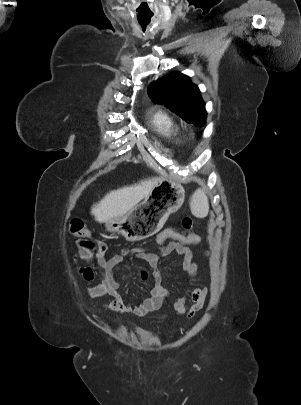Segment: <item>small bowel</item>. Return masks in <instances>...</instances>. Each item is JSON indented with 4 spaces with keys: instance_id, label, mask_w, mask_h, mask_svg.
Here are the masks:
<instances>
[{
    "instance_id": "1",
    "label": "small bowel",
    "mask_w": 301,
    "mask_h": 405,
    "mask_svg": "<svg viewBox=\"0 0 301 405\" xmlns=\"http://www.w3.org/2000/svg\"><path fill=\"white\" fill-rule=\"evenodd\" d=\"M166 232L167 231L164 230L157 236L159 249L156 253L144 249L128 248L110 259H106L104 256L107 248L104 242L97 240L96 245L98 251L94 252L87 246L85 240H77V252L74 255V260L78 257L87 261L93 260L99 268L101 275V282L87 289L88 295H109L113 298V301L108 305L110 311L117 313L127 312L128 304L120 293V285L112 274V268L130 260L131 256L135 255L137 259L144 261L151 268L150 275L153 279V285L149 295L134 308L133 312L138 316H144L149 312L157 310L171 295V290L162 283V275L158 269V264L161 258L175 253L181 258L182 269L190 277V281L188 284V292L183 296L173 298L172 306L177 315L186 316L187 318L192 317L202 308L208 291L206 288L196 287L192 280L195 271V262L191 249L189 247H181L180 243L174 241L175 237L168 236ZM81 272L87 280L94 278V272L90 267L81 268ZM148 276L149 272L147 270L142 269L140 271V278L142 280H146ZM188 300L191 305L190 308L186 310L185 305Z\"/></svg>"
}]
</instances>
